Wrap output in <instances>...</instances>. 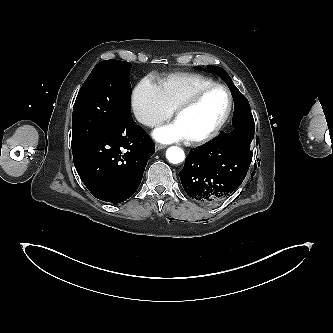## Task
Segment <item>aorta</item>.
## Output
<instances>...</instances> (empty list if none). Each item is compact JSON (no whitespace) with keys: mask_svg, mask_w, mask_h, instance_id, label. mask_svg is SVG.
Segmentation results:
<instances>
[{"mask_svg":"<svg viewBox=\"0 0 333 333\" xmlns=\"http://www.w3.org/2000/svg\"><path fill=\"white\" fill-rule=\"evenodd\" d=\"M166 158L170 163L178 164L184 160L185 154L181 148L177 146H171L166 151Z\"/></svg>","mask_w":333,"mask_h":333,"instance_id":"762f6f07","label":"aorta"}]
</instances>
